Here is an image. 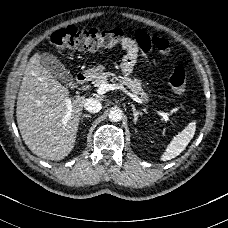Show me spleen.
Masks as SVG:
<instances>
[{"mask_svg":"<svg viewBox=\"0 0 228 228\" xmlns=\"http://www.w3.org/2000/svg\"><path fill=\"white\" fill-rule=\"evenodd\" d=\"M196 131V123H189L177 136H175L170 144L167 146L166 151L161 156L162 161L171 160L177 157L182 151L185 150L189 142L194 137Z\"/></svg>","mask_w":228,"mask_h":228,"instance_id":"obj_1","label":"spleen"}]
</instances>
